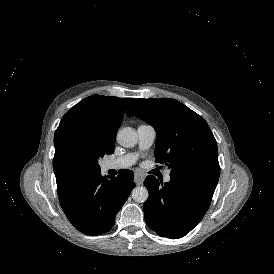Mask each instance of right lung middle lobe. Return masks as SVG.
Listing matches in <instances>:
<instances>
[{
  "instance_id": "1",
  "label": "right lung middle lobe",
  "mask_w": 274,
  "mask_h": 274,
  "mask_svg": "<svg viewBox=\"0 0 274 274\" xmlns=\"http://www.w3.org/2000/svg\"><path fill=\"white\" fill-rule=\"evenodd\" d=\"M110 149L102 144L92 145L86 152H79L77 150H71L67 153V160L71 162H77L81 166L88 168L92 172H100V166L98 165V159L105 154H111Z\"/></svg>"
}]
</instances>
